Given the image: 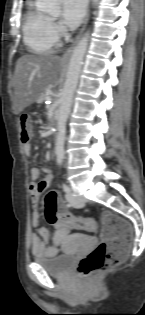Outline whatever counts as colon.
I'll return each mask as SVG.
<instances>
[{"label":"colon","mask_w":145,"mask_h":315,"mask_svg":"<svg viewBox=\"0 0 145 315\" xmlns=\"http://www.w3.org/2000/svg\"><path fill=\"white\" fill-rule=\"evenodd\" d=\"M21 139L29 143L33 134V121L30 115L20 116ZM46 220L50 224L62 221L65 224L85 231H93L95 222L91 219L71 215L56 192H48L44 200ZM102 233L99 245L78 264L77 273L85 281H90L117 266L127 255L132 240L130 224L112 212L102 214Z\"/></svg>","instance_id":"1"}]
</instances>
